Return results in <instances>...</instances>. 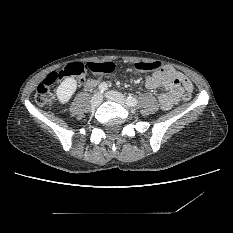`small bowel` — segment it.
I'll return each mask as SVG.
<instances>
[{
  "mask_svg": "<svg viewBox=\"0 0 233 233\" xmlns=\"http://www.w3.org/2000/svg\"><path fill=\"white\" fill-rule=\"evenodd\" d=\"M63 78H67V76ZM145 87L151 91L164 89L158 94V101L163 110H170L179 101L183 92H192L193 90L190 80L168 65H163L161 69L149 74L145 78Z\"/></svg>",
  "mask_w": 233,
  "mask_h": 233,
  "instance_id": "1",
  "label": "small bowel"
}]
</instances>
